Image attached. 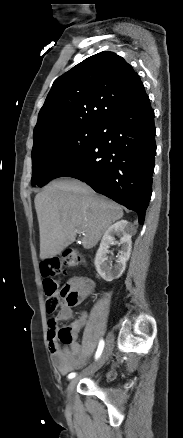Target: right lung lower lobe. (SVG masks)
I'll list each match as a JSON object with an SVG mask.
<instances>
[{
	"instance_id": "obj_1",
	"label": "right lung lower lobe",
	"mask_w": 183,
	"mask_h": 438,
	"mask_svg": "<svg viewBox=\"0 0 183 438\" xmlns=\"http://www.w3.org/2000/svg\"><path fill=\"white\" fill-rule=\"evenodd\" d=\"M156 152L154 111L146 95L97 127L91 144L58 172L139 214L144 223Z\"/></svg>"
}]
</instances>
